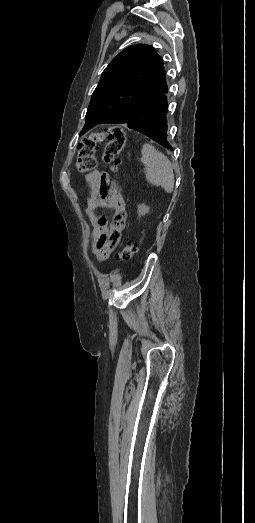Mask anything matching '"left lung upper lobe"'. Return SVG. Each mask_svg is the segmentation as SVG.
<instances>
[{
    "mask_svg": "<svg viewBox=\"0 0 255 523\" xmlns=\"http://www.w3.org/2000/svg\"><path fill=\"white\" fill-rule=\"evenodd\" d=\"M167 92L163 60L156 50L145 44L129 46L103 71L80 135L98 123H125L133 130L154 125L166 118ZM164 131L167 134V128Z\"/></svg>",
    "mask_w": 255,
    "mask_h": 523,
    "instance_id": "obj_1",
    "label": "left lung upper lobe"
}]
</instances>
